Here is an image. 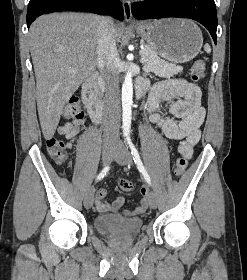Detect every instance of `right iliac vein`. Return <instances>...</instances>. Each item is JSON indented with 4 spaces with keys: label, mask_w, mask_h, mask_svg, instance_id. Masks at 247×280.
Instances as JSON below:
<instances>
[{
    "label": "right iliac vein",
    "mask_w": 247,
    "mask_h": 280,
    "mask_svg": "<svg viewBox=\"0 0 247 280\" xmlns=\"http://www.w3.org/2000/svg\"><path fill=\"white\" fill-rule=\"evenodd\" d=\"M114 155V147L112 145H107L103 148L102 151V163L104 166L111 163ZM94 192L95 188L92 186L87 191L85 197H84V206L89 209L93 205L94 201Z\"/></svg>",
    "instance_id": "obj_1"
}]
</instances>
